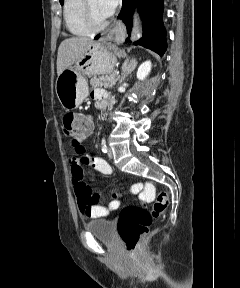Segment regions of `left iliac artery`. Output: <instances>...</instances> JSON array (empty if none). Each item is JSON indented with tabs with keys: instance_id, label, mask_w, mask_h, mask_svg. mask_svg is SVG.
I'll return each mask as SVG.
<instances>
[{
	"instance_id": "44dca946",
	"label": "left iliac artery",
	"mask_w": 240,
	"mask_h": 288,
	"mask_svg": "<svg viewBox=\"0 0 240 288\" xmlns=\"http://www.w3.org/2000/svg\"><path fill=\"white\" fill-rule=\"evenodd\" d=\"M102 151H103L104 153H107V152H108V147H107V145L105 144V142H103V144H102Z\"/></svg>"
}]
</instances>
